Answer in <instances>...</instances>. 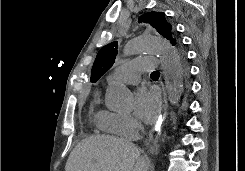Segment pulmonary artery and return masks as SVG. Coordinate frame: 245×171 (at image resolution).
Here are the masks:
<instances>
[{"instance_id": "pulmonary-artery-1", "label": "pulmonary artery", "mask_w": 245, "mask_h": 171, "mask_svg": "<svg viewBox=\"0 0 245 171\" xmlns=\"http://www.w3.org/2000/svg\"><path fill=\"white\" fill-rule=\"evenodd\" d=\"M158 58L155 56H146L137 58L116 67L108 76V81H121L125 83H136L139 75L144 72H150L154 69Z\"/></svg>"}]
</instances>
